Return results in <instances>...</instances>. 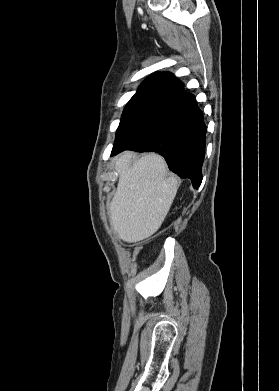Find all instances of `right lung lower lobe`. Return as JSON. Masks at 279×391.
<instances>
[{
	"label": "right lung lower lobe",
	"mask_w": 279,
	"mask_h": 391,
	"mask_svg": "<svg viewBox=\"0 0 279 391\" xmlns=\"http://www.w3.org/2000/svg\"><path fill=\"white\" fill-rule=\"evenodd\" d=\"M205 136L203 113L194 95L186 94L162 108L145 130L111 156L124 150L160 153L171 171L197 188L202 182Z\"/></svg>",
	"instance_id": "right-lung-lower-lobe-1"
}]
</instances>
